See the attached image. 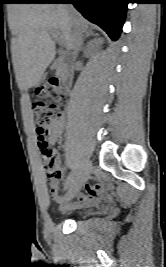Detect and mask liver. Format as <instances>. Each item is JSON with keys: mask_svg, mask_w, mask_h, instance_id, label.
I'll use <instances>...</instances> for the list:
<instances>
[{"mask_svg": "<svg viewBox=\"0 0 166 267\" xmlns=\"http://www.w3.org/2000/svg\"><path fill=\"white\" fill-rule=\"evenodd\" d=\"M77 25L88 29L86 19L71 5L22 4L17 7L13 61L19 88L34 87L55 57V43L49 31L62 37L68 50L73 49L71 30Z\"/></svg>", "mask_w": 166, "mask_h": 267, "instance_id": "liver-1", "label": "liver"}]
</instances>
